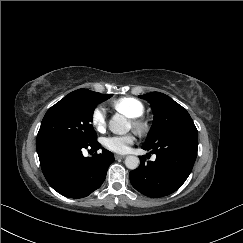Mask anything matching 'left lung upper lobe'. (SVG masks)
I'll list each match as a JSON object with an SVG mask.
<instances>
[{
	"mask_svg": "<svg viewBox=\"0 0 243 243\" xmlns=\"http://www.w3.org/2000/svg\"><path fill=\"white\" fill-rule=\"evenodd\" d=\"M147 100L155 113L153 125L148 133L145 146L152 147L161 142L188 133H197L189 113L167 95L152 92L139 96Z\"/></svg>",
	"mask_w": 243,
	"mask_h": 243,
	"instance_id": "left-lung-upper-lobe-1",
	"label": "left lung upper lobe"
}]
</instances>
